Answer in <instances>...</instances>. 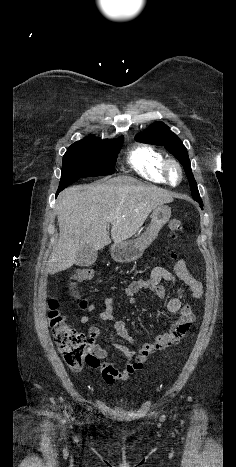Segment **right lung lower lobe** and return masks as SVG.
<instances>
[{
  "mask_svg": "<svg viewBox=\"0 0 236 467\" xmlns=\"http://www.w3.org/2000/svg\"><path fill=\"white\" fill-rule=\"evenodd\" d=\"M61 190H63V189H62V188H59V189H58V192H57L56 196L58 195V193H59Z\"/></svg>",
  "mask_w": 236,
  "mask_h": 467,
  "instance_id": "1",
  "label": "right lung lower lobe"
}]
</instances>
